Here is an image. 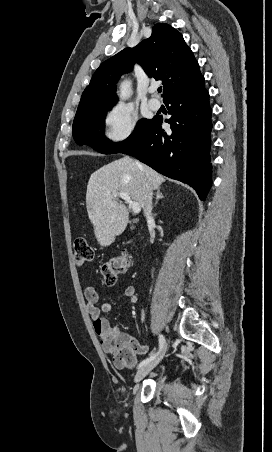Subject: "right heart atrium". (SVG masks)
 <instances>
[{"instance_id":"right-heart-atrium-1","label":"right heart atrium","mask_w":272,"mask_h":452,"mask_svg":"<svg viewBox=\"0 0 272 452\" xmlns=\"http://www.w3.org/2000/svg\"><path fill=\"white\" fill-rule=\"evenodd\" d=\"M103 123L104 137L109 142L120 143L135 132L138 116L129 106L116 104L105 112Z\"/></svg>"}]
</instances>
